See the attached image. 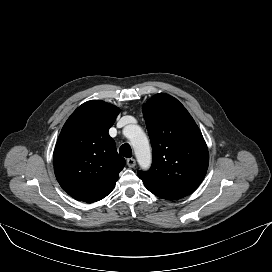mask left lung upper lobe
<instances>
[{"mask_svg":"<svg viewBox=\"0 0 272 272\" xmlns=\"http://www.w3.org/2000/svg\"><path fill=\"white\" fill-rule=\"evenodd\" d=\"M153 163L138 171L145 187L158 197L177 200L194 192L204 179L209 153L197 124L174 97L160 93L143 105Z\"/></svg>","mask_w":272,"mask_h":272,"instance_id":"5c2ea615","label":"left lung upper lobe"}]
</instances>
